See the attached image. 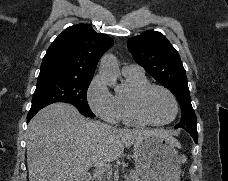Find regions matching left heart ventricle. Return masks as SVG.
Returning a JSON list of instances; mask_svg holds the SVG:
<instances>
[{"label": "left heart ventricle", "mask_w": 228, "mask_h": 181, "mask_svg": "<svg viewBox=\"0 0 228 181\" xmlns=\"http://www.w3.org/2000/svg\"><path fill=\"white\" fill-rule=\"evenodd\" d=\"M147 114L157 115V120H164L171 116L172 108L168 97L161 91L155 90L149 97L144 105Z\"/></svg>", "instance_id": "b2bd125f"}]
</instances>
